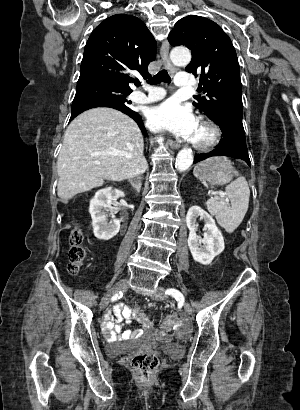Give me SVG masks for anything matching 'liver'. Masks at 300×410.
Masks as SVG:
<instances>
[{"label":"liver","mask_w":300,"mask_h":410,"mask_svg":"<svg viewBox=\"0 0 300 410\" xmlns=\"http://www.w3.org/2000/svg\"><path fill=\"white\" fill-rule=\"evenodd\" d=\"M137 124L111 108H94L77 116L65 131L57 160V195L64 202L103 185L123 181L148 167Z\"/></svg>","instance_id":"6515ba94"}]
</instances>
